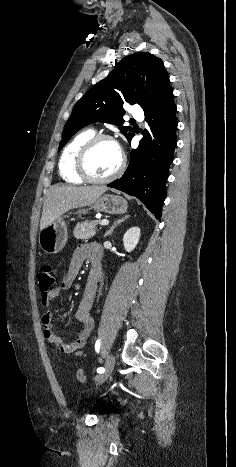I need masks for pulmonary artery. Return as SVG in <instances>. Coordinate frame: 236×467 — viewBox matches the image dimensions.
<instances>
[{
  "instance_id": "pulmonary-artery-1",
  "label": "pulmonary artery",
  "mask_w": 236,
  "mask_h": 467,
  "mask_svg": "<svg viewBox=\"0 0 236 467\" xmlns=\"http://www.w3.org/2000/svg\"><path fill=\"white\" fill-rule=\"evenodd\" d=\"M132 116L138 120H142L144 118L143 110L139 105H135L133 107Z\"/></svg>"
}]
</instances>
